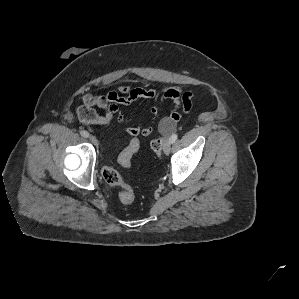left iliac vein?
<instances>
[{"instance_id":"obj_1","label":"left iliac vein","mask_w":299,"mask_h":299,"mask_svg":"<svg viewBox=\"0 0 299 299\" xmlns=\"http://www.w3.org/2000/svg\"><path fill=\"white\" fill-rule=\"evenodd\" d=\"M170 150H171V142H170V140H167V141L164 143L163 151H164L165 154H169V153H170Z\"/></svg>"}]
</instances>
